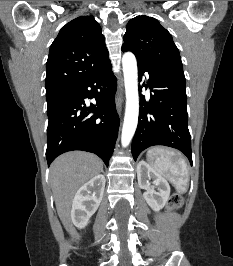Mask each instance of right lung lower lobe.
<instances>
[{
  "label": "right lung lower lobe",
  "instance_id": "right-lung-lower-lobe-1",
  "mask_svg": "<svg viewBox=\"0 0 233 266\" xmlns=\"http://www.w3.org/2000/svg\"><path fill=\"white\" fill-rule=\"evenodd\" d=\"M111 67L108 63L86 81L47 104L48 166L57 156L71 150L95 153L108 166L119 128L114 101L116 78ZM85 98H95L96 105L86 107ZM90 113L94 115L89 116Z\"/></svg>",
  "mask_w": 233,
  "mask_h": 266
}]
</instances>
